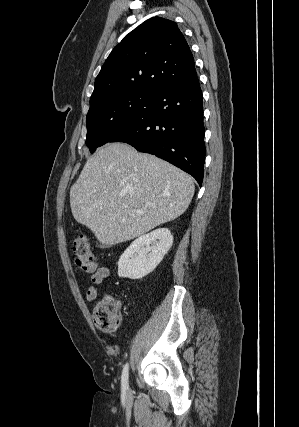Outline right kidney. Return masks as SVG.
<instances>
[{
	"label": "right kidney",
	"mask_w": 299,
	"mask_h": 427,
	"mask_svg": "<svg viewBox=\"0 0 299 427\" xmlns=\"http://www.w3.org/2000/svg\"><path fill=\"white\" fill-rule=\"evenodd\" d=\"M173 244L167 228H159L134 240L118 261V276L141 279L162 261Z\"/></svg>",
	"instance_id": "obj_1"
}]
</instances>
